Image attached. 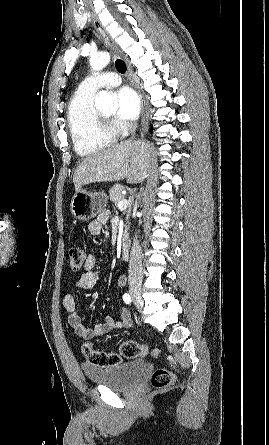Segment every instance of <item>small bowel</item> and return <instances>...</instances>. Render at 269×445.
Masks as SVG:
<instances>
[{"label": "small bowel", "mask_w": 269, "mask_h": 445, "mask_svg": "<svg viewBox=\"0 0 269 445\" xmlns=\"http://www.w3.org/2000/svg\"><path fill=\"white\" fill-rule=\"evenodd\" d=\"M108 213H102L97 219L93 220L89 224V232L93 235L101 233L104 224L108 220ZM97 264V257L94 254H90L86 257L83 271L80 277L72 284V288L75 290H91L93 289L99 280V274L95 270ZM127 278L125 276L118 277L116 281V288L121 289L125 287ZM63 306L67 312V321L70 327L75 333L86 339H92L96 336H101L108 333L111 330L127 328L131 325V317L127 308L121 307L119 311V318L113 319L111 317L105 318V320L95 325L94 327H87L77 310L76 300L74 293L68 291L63 296Z\"/></svg>", "instance_id": "1"}]
</instances>
